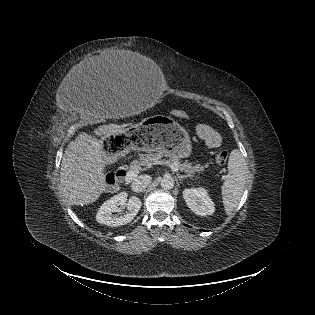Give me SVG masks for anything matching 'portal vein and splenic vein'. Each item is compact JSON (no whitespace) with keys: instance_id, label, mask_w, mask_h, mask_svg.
Segmentation results:
<instances>
[{"instance_id":"1","label":"portal vein and splenic vein","mask_w":315,"mask_h":315,"mask_svg":"<svg viewBox=\"0 0 315 315\" xmlns=\"http://www.w3.org/2000/svg\"><path fill=\"white\" fill-rule=\"evenodd\" d=\"M170 167H171L172 171H174V172L179 171V168L174 164L170 165ZM138 173H139L138 169L129 170L126 174V180L128 181V180L134 179L138 175Z\"/></svg>"}]
</instances>
